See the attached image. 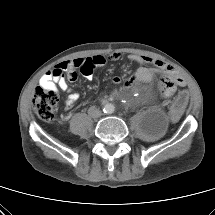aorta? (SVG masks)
Segmentation results:
<instances>
[{
    "label": "aorta",
    "instance_id": "obj_1",
    "mask_svg": "<svg viewBox=\"0 0 215 215\" xmlns=\"http://www.w3.org/2000/svg\"><path fill=\"white\" fill-rule=\"evenodd\" d=\"M114 110H115V107H114V105L111 104V103H108V104H106V105L104 106V112H105V113L111 114V113L114 112Z\"/></svg>",
    "mask_w": 215,
    "mask_h": 215
}]
</instances>
